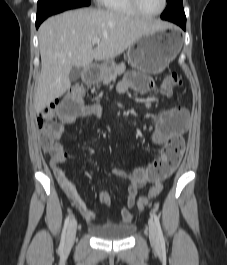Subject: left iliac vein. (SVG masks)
Instances as JSON below:
<instances>
[{"label": "left iliac vein", "instance_id": "4c4485c4", "mask_svg": "<svg viewBox=\"0 0 227 265\" xmlns=\"http://www.w3.org/2000/svg\"><path fill=\"white\" fill-rule=\"evenodd\" d=\"M148 229H149L150 242L153 245H158L160 242L159 241V235H158L156 224L152 218H149V220H148Z\"/></svg>", "mask_w": 227, "mask_h": 265}]
</instances>
